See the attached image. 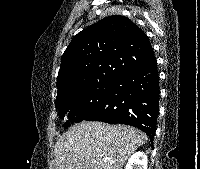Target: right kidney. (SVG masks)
<instances>
[{
  "label": "right kidney",
  "instance_id": "right-kidney-1",
  "mask_svg": "<svg viewBox=\"0 0 200 169\" xmlns=\"http://www.w3.org/2000/svg\"><path fill=\"white\" fill-rule=\"evenodd\" d=\"M147 156L144 152H135L128 160L125 169H147Z\"/></svg>",
  "mask_w": 200,
  "mask_h": 169
}]
</instances>
